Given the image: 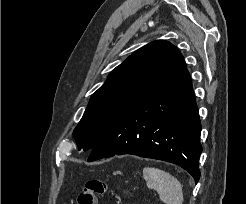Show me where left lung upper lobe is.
Listing matches in <instances>:
<instances>
[{"label": "left lung upper lobe", "mask_w": 246, "mask_h": 204, "mask_svg": "<svg viewBox=\"0 0 246 204\" xmlns=\"http://www.w3.org/2000/svg\"><path fill=\"white\" fill-rule=\"evenodd\" d=\"M185 69L183 56L167 41L135 51L91 96L73 132L79 150H91L118 120Z\"/></svg>", "instance_id": "5c2ea615"}]
</instances>
